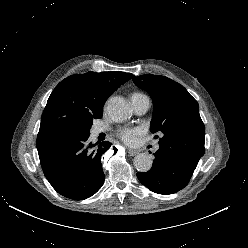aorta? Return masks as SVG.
Returning <instances> with one entry per match:
<instances>
[{"mask_svg":"<svg viewBox=\"0 0 248 248\" xmlns=\"http://www.w3.org/2000/svg\"><path fill=\"white\" fill-rule=\"evenodd\" d=\"M107 112L113 121L122 122L130 116L131 107L125 98L115 96L109 99ZM133 163L137 171L147 172L151 169L153 161L150 155L140 153L135 156Z\"/></svg>","mask_w":248,"mask_h":248,"instance_id":"obj_1","label":"aorta"}]
</instances>
